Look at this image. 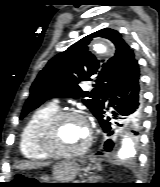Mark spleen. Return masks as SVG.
I'll return each instance as SVG.
<instances>
[{"mask_svg":"<svg viewBox=\"0 0 160 187\" xmlns=\"http://www.w3.org/2000/svg\"><path fill=\"white\" fill-rule=\"evenodd\" d=\"M98 169H100V165H98Z\"/></svg>","mask_w":160,"mask_h":187,"instance_id":"obj_1","label":"spleen"}]
</instances>
